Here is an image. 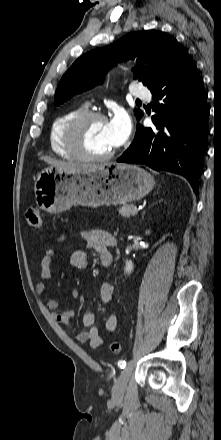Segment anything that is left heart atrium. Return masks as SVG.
Segmentation results:
<instances>
[{"label":"left heart atrium","instance_id":"39dd6f15","mask_svg":"<svg viewBox=\"0 0 221 440\" xmlns=\"http://www.w3.org/2000/svg\"><path fill=\"white\" fill-rule=\"evenodd\" d=\"M131 120L124 111H118L108 122V132L113 147L123 144L131 132Z\"/></svg>","mask_w":221,"mask_h":440}]
</instances>
